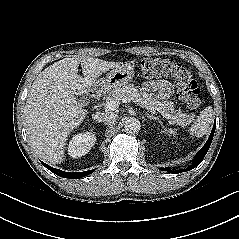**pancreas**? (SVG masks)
I'll return each instance as SVG.
<instances>
[{"instance_id":"obj_1","label":"pancreas","mask_w":239,"mask_h":239,"mask_svg":"<svg viewBox=\"0 0 239 239\" xmlns=\"http://www.w3.org/2000/svg\"><path fill=\"white\" fill-rule=\"evenodd\" d=\"M124 97L131 98L134 102H136L143 108L160 109L165 111L166 113H172V115L175 117L174 119H172V122L174 124L185 126L191 122V119L187 114L180 111L176 112L174 110L173 102L168 100L160 101L152 94L140 92L133 84L110 90L108 92V95L105 97V100L120 101Z\"/></svg>"}]
</instances>
